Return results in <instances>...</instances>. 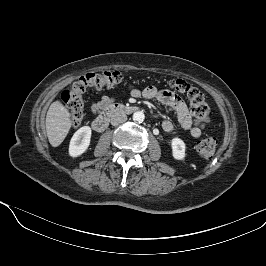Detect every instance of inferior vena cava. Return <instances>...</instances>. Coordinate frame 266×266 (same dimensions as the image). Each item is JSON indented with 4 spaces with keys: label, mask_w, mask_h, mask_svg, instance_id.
Instances as JSON below:
<instances>
[{
    "label": "inferior vena cava",
    "mask_w": 266,
    "mask_h": 266,
    "mask_svg": "<svg viewBox=\"0 0 266 266\" xmlns=\"http://www.w3.org/2000/svg\"><path fill=\"white\" fill-rule=\"evenodd\" d=\"M126 120H127V115L123 112H118L111 116V124L113 126L124 123Z\"/></svg>",
    "instance_id": "602c4592"
}]
</instances>
